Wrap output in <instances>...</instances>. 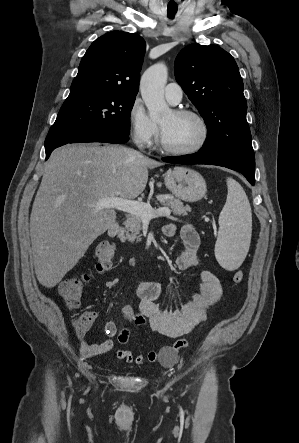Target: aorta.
I'll return each instance as SVG.
<instances>
[{
	"label": "aorta",
	"instance_id": "obj_1",
	"mask_svg": "<svg viewBox=\"0 0 299 443\" xmlns=\"http://www.w3.org/2000/svg\"><path fill=\"white\" fill-rule=\"evenodd\" d=\"M168 69L164 63H157L148 68L140 82V91L149 116L153 120L165 118L171 109L164 98V87L167 82Z\"/></svg>",
	"mask_w": 299,
	"mask_h": 443
}]
</instances>
